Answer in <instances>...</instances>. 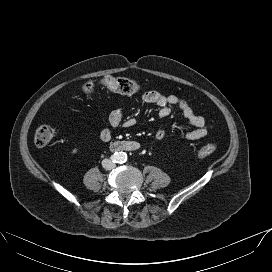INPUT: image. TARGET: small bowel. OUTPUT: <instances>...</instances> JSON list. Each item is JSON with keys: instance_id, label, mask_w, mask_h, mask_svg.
Returning a JSON list of instances; mask_svg holds the SVG:
<instances>
[{"instance_id": "obj_1", "label": "small bowel", "mask_w": 272, "mask_h": 272, "mask_svg": "<svg viewBox=\"0 0 272 272\" xmlns=\"http://www.w3.org/2000/svg\"><path fill=\"white\" fill-rule=\"evenodd\" d=\"M141 100L146 104H155L159 106V117L167 118L169 117L173 109H177L181 114L189 121V123L194 127L192 130H188L185 133V137L188 140H199L205 137L210 129L203 116L196 114L191 106L183 99L175 95H165L157 91H147L142 94ZM136 124V119L133 117H128L126 112L117 108L114 109L108 118L107 126L101 130L100 138L104 142H108L112 138L113 129L123 126L132 127ZM166 137V132L164 129L159 128L155 132V139L157 141H163Z\"/></svg>"}]
</instances>
